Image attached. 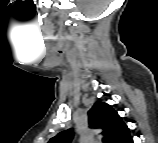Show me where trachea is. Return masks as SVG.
<instances>
[{"label": "trachea", "mask_w": 158, "mask_h": 143, "mask_svg": "<svg viewBox=\"0 0 158 143\" xmlns=\"http://www.w3.org/2000/svg\"><path fill=\"white\" fill-rule=\"evenodd\" d=\"M103 142H104V143H108V142H109V139H108L107 137H104V138H103Z\"/></svg>", "instance_id": "1"}]
</instances>
